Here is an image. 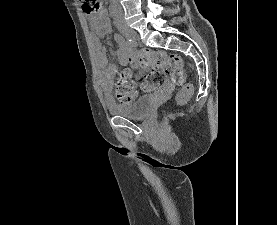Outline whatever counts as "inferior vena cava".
<instances>
[{"label": "inferior vena cava", "mask_w": 277, "mask_h": 225, "mask_svg": "<svg viewBox=\"0 0 277 225\" xmlns=\"http://www.w3.org/2000/svg\"><path fill=\"white\" fill-rule=\"evenodd\" d=\"M112 3L115 4L118 9H121V7L119 5V0H112ZM119 18H122V20L124 21L122 13H120L119 16H117V20L116 21H118Z\"/></svg>", "instance_id": "obj_1"}]
</instances>
